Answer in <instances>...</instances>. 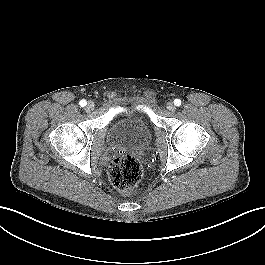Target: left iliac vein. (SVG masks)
Segmentation results:
<instances>
[{
  "label": "left iliac vein",
  "instance_id": "obj_1",
  "mask_svg": "<svg viewBox=\"0 0 265 265\" xmlns=\"http://www.w3.org/2000/svg\"><path fill=\"white\" fill-rule=\"evenodd\" d=\"M167 109L171 112L175 111V105L172 102L167 103Z\"/></svg>",
  "mask_w": 265,
  "mask_h": 265
}]
</instances>
